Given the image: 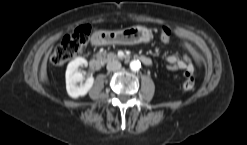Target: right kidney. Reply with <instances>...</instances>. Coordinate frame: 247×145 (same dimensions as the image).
Returning a JSON list of instances; mask_svg holds the SVG:
<instances>
[{
    "label": "right kidney",
    "mask_w": 247,
    "mask_h": 145,
    "mask_svg": "<svg viewBox=\"0 0 247 145\" xmlns=\"http://www.w3.org/2000/svg\"><path fill=\"white\" fill-rule=\"evenodd\" d=\"M80 66H87L86 59L78 57L71 61L66 70V90L70 97L76 99L85 96L92 88L94 78L88 77L84 84L78 86V82H82L83 75L78 71Z\"/></svg>",
    "instance_id": "obj_1"
}]
</instances>
